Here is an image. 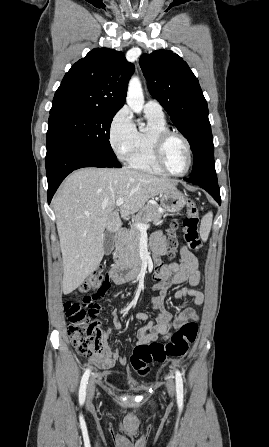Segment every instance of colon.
Masks as SVG:
<instances>
[{
	"label": "colon",
	"instance_id": "1",
	"mask_svg": "<svg viewBox=\"0 0 269 447\" xmlns=\"http://www.w3.org/2000/svg\"><path fill=\"white\" fill-rule=\"evenodd\" d=\"M200 209L194 201L186 203V217L183 221L184 239L193 250H200L199 234ZM168 245L174 252L180 246V232L177 223L168 231ZM108 280L103 273H94L87 277L80 286L84 298L80 303H64V311L68 318V334L73 346L84 356L98 353L103 348V339L111 338V331L104 330L97 315L103 309L98 297L108 291ZM198 333V326L191 321L182 323L172 330L170 341L139 345L133 349L130 363L142 377L149 376L151 369L148 363H161L168 358H181L188 351Z\"/></svg>",
	"mask_w": 269,
	"mask_h": 447
}]
</instances>
